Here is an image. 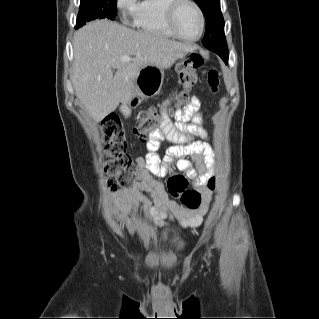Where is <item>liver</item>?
Masks as SVG:
<instances>
[{
    "label": "liver",
    "mask_w": 319,
    "mask_h": 319,
    "mask_svg": "<svg viewBox=\"0 0 319 319\" xmlns=\"http://www.w3.org/2000/svg\"><path fill=\"white\" fill-rule=\"evenodd\" d=\"M194 47L161 35L135 31L106 19L80 28L73 38V85L76 97L94 121L100 122L119 103L136 95L139 70L147 65L170 68ZM122 56H133L122 61ZM113 69L116 73L113 75Z\"/></svg>",
    "instance_id": "1"
}]
</instances>
